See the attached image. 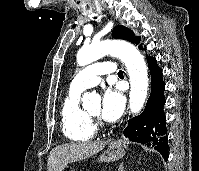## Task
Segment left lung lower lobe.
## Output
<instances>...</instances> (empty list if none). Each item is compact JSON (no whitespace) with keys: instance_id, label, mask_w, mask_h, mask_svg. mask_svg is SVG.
Returning a JSON list of instances; mask_svg holds the SVG:
<instances>
[{"instance_id":"left-lung-lower-lobe-1","label":"left lung lower lobe","mask_w":199,"mask_h":171,"mask_svg":"<svg viewBox=\"0 0 199 171\" xmlns=\"http://www.w3.org/2000/svg\"><path fill=\"white\" fill-rule=\"evenodd\" d=\"M151 71V94L141 115L129 120L124 135L130 141L152 145L165 160L168 159V136L166 117L163 111L165 104V84L162 70L153 57H147Z\"/></svg>"}]
</instances>
